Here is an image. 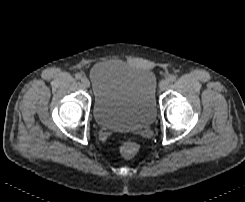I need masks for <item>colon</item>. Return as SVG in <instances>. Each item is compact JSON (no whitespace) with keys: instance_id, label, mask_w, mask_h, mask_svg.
Wrapping results in <instances>:
<instances>
[{"instance_id":"5ec220e1","label":"colon","mask_w":245,"mask_h":202,"mask_svg":"<svg viewBox=\"0 0 245 202\" xmlns=\"http://www.w3.org/2000/svg\"><path fill=\"white\" fill-rule=\"evenodd\" d=\"M139 152V146L133 141H125L120 145V153L123 157L131 159Z\"/></svg>"}]
</instances>
